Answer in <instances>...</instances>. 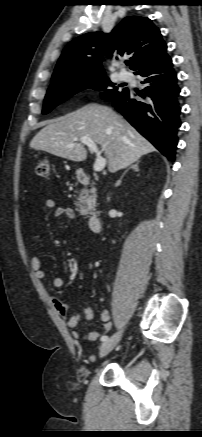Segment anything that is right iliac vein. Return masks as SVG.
I'll list each match as a JSON object with an SVG mask.
<instances>
[{
    "label": "right iliac vein",
    "mask_w": 202,
    "mask_h": 437,
    "mask_svg": "<svg viewBox=\"0 0 202 437\" xmlns=\"http://www.w3.org/2000/svg\"><path fill=\"white\" fill-rule=\"evenodd\" d=\"M122 336L121 332H117L114 335H112L109 339L104 341L102 345L100 346L99 350V356L102 358L106 356L108 353H110L115 346L118 344Z\"/></svg>",
    "instance_id": "63e3f726"
}]
</instances>
